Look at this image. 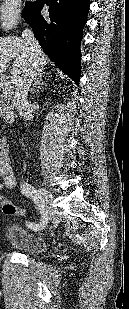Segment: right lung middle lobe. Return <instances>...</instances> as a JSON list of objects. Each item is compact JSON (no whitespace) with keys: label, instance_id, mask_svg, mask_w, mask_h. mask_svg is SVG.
Returning a JSON list of instances; mask_svg holds the SVG:
<instances>
[{"label":"right lung middle lobe","instance_id":"obj_1","mask_svg":"<svg viewBox=\"0 0 129 309\" xmlns=\"http://www.w3.org/2000/svg\"><path fill=\"white\" fill-rule=\"evenodd\" d=\"M33 5H34V3H33V2H28V3H26V6H25V11H24V16H26V15H27V13H28L29 9H30Z\"/></svg>","mask_w":129,"mask_h":309}]
</instances>
